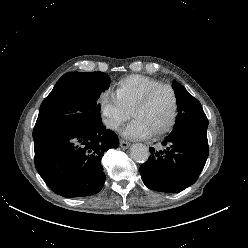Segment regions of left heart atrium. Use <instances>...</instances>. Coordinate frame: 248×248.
Wrapping results in <instances>:
<instances>
[{
    "label": "left heart atrium",
    "mask_w": 248,
    "mask_h": 248,
    "mask_svg": "<svg viewBox=\"0 0 248 248\" xmlns=\"http://www.w3.org/2000/svg\"><path fill=\"white\" fill-rule=\"evenodd\" d=\"M123 136L129 139H144L150 135L148 129L138 120L133 119L124 129Z\"/></svg>",
    "instance_id": "left-heart-atrium-1"
}]
</instances>
